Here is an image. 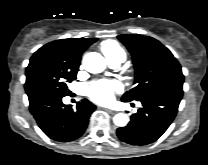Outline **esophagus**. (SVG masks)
I'll return each instance as SVG.
<instances>
[{
  "mask_svg": "<svg viewBox=\"0 0 208 165\" xmlns=\"http://www.w3.org/2000/svg\"><path fill=\"white\" fill-rule=\"evenodd\" d=\"M105 111H107L108 113H111V114H115L116 112L109 109V108H103Z\"/></svg>",
  "mask_w": 208,
  "mask_h": 165,
  "instance_id": "esophagus-1",
  "label": "esophagus"
}]
</instances>
